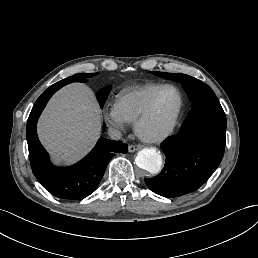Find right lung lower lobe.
I'll use <instances>...</instances> for the list:
<instances>
[{"label": "right lung lower lobe", "instance_id": "obj_1", "mask_svg": "<svg viewBox=\"0 0 258 258\" xmlns=\"http://www.w3.org/2000/svg\"><path fill=\"white\" fill-rule=\"evenodd\" d=\"M87 77L74 75L63 79L45 90L34 104L27 121V141L30 164L39 183L51 194L68 200H81L98 187L109 160L116 153H127L128 147L121 141L100 138L92 151L77 164L56 167L49 161L36 131L38 118L51 96L64 85L87 82Z\"/></svg>", "mask_w": 258, "mask_h": 258}]
</instances>
